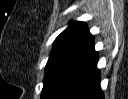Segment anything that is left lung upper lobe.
I'll use <instances>...</instances> for the list:
<instances>
[{"mask_svg": "<svg viewBox=\"0 0 128 99\" xmlns=\"http://www.w3.org/2000/svg\"><path fill=\"white\" fill-rule=\"evenodd\" d=\"M92 37L84 22H71L56 38L45 67L42 95L47 91L57 70L68 61Z\"/></svg>", "mask_w": 128, "mask_h": 99, "instance_id": "5c2ea615", "label": "left lung upper lobe"}]
</instances>
